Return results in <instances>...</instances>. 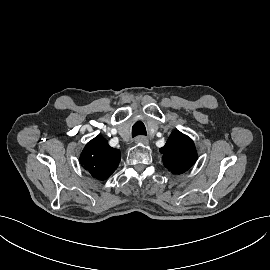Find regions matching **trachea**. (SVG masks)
Listing matches in <instances>:
<instances>
[{
	"mask_svg": "<svg viewBox=\"0 0 270 270\" xmlns=\"http://www.w3.org/2000/svg\"><path fill=\"white\" fill-rule=\"evenodd\" d=\"M138 135H146L145 125L141 121H137L132 127V137Z\"/></svg>",
	"mask_w": 270,
	"mask_h": 270,
	"instance_id": "trachea-1",
	"label": "trachea"
}]
</instances>
